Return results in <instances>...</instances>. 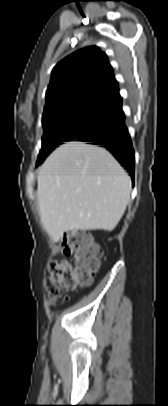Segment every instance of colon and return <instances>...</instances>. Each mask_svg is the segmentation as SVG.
Returning <instances> with one entry per match:
<instances>
[{"mask_svg": "<svg viewBox=\"0 0 168 406\" xmlns=\"http://www.w3.org/2000/svg\"><path fill=\"white\" fill-rule=\"evenodd\" d=\"M59 246L64 255L72 257V261L59 259L51 263L45 284L51 300L78 286L89 285L99 268L102 256L101 249L86 233L80 231L64 233Z\"/></svg>", "mask_w": 168, "mask_h": 406, "instance_id": "5ec220e1", "label": "colon"}]
</instances>
